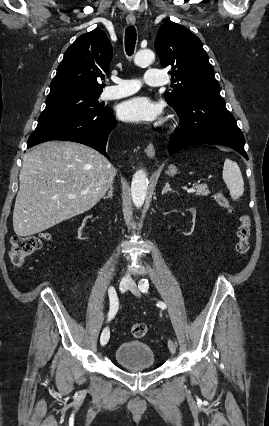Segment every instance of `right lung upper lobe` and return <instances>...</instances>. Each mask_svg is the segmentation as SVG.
Returning a JSON list of instances; mask_svg holds the SVG:
<instances>
[{
	"mask_svg": "<svg viewBox=\"0 0 269 426\" xmlns=\"http://www.w3.org/2000/svg\"><path fill=\"white\" fill-rule=\"evenodd\" d=\"M112 46L102 30H93L78 37L66 50L51 82L50 92L77 89L102 92L98 77L109 73Z\"/></svg>",
	"mask_w": 269,
	"mask_h": 426,
	"instance_id": "right-lung-upper-lobe-1",
	"label": "right lung upper lobe"
}]
</instances>
